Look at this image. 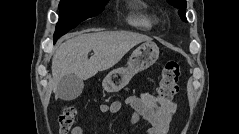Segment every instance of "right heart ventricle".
<instances>
[{
	"instance_id": "e07e8e85",
	"label": "right heart ventricle",
	"mask_w": 239,
	"mask_h": 134,
	"mask_svg": "<svg viewBox=\"0 0 239 134\" xmlns=\"http://www.w3.org/2000/svg\"><path fill=\"white\" fill-rule=\"evenodd\" d=\"M128 22L132 26L149 29L153 25L154 18L143 7H135L128 17Z\"/></svg>"
}]
</instances>
